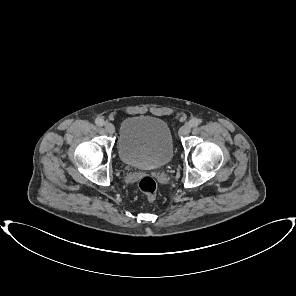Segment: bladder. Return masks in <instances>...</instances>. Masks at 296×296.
<instances>
[{"label":"bladder","mask_w":296,"mask_h":296,"mask_svg":"<svg viewBox=\"0 0 296 296\" xmlns=\"http://www.w3.org/2000/svg\"><path fill=\"white\" fill-rule=\"evenodd\" d=\"M118 154L127 166L154 170L166 166L173 156V140L165 121L150 116L126 118L120 126Z\"/></svg>","instance_id":"bladder-1"}]
</instances>
